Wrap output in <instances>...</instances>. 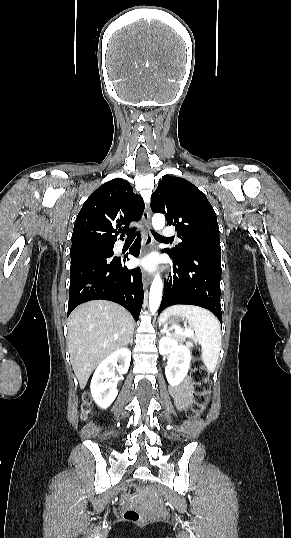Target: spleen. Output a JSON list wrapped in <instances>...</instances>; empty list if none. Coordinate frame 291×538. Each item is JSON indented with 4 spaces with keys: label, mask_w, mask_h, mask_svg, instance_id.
<instances>
[{
    "label": "spleen",
    "mask_w": 291,
    "mask_h": 538,
    "mask_svg": "<svg viewBox=\"0 0 291 538\" xmlns=\"http://www.w3.org/2000/svg\"><path fill=\"white\" fill-rule=\"evenodd\" d=\"M186 318L189 328L194 331L196 342L201 344L202 360L209 372L216 368L221 349V326L215 316L198 306L174 305L165 309L160 321L165 322L169 316Z\"/></svg>",
    "instance_id": "3e777b00"
}]
</instances>
